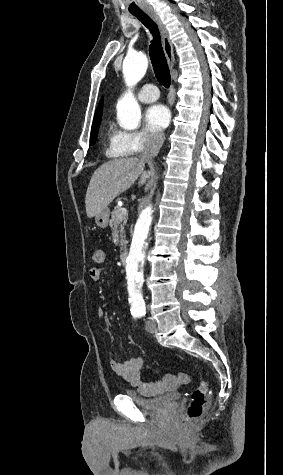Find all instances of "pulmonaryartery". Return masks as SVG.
<instances>
[{
	"instance_id": "1",
	"label": "pulmonary artery",
	"mask_w": 283,
	"mask_h": 475,
	"mask_svg": "<svg viewBox=\"0 0 283 475\" xmlns=\"http://www.w3.org/2000/svg\"><path fill=\"white\" fill-rule=\"evenodd\" d=\"M159 92L158 87H155L153 84H147L139 91L142 95H138V100L145 103L154 102L157 99Z\"/></svg>"
}]
</instances>
